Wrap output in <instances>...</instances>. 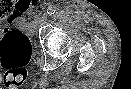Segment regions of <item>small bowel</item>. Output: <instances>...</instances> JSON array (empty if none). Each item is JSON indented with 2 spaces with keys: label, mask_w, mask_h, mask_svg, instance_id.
<instances>
[{
  "label": "small bowel",
  "mask_w": 131,
  "mask_h": 89,
  "mask_svg": "<svg viewBox=\"0 0 131 89\" xmlns=\"http://www.w3.org/2000/svg\"><path fill=\"white\" fill-rule=\"evenodd\" d=\"M27 9L28 8L25 5L22 4L15 5V9H14L15 11L13 14H7L0 18V30L3 28L4 25H7V23H9L11 20L17 19ZM16 14H19V16Z\"/></svg>",
  "instance_id": "small-bowel-1"
}]
</instances>
